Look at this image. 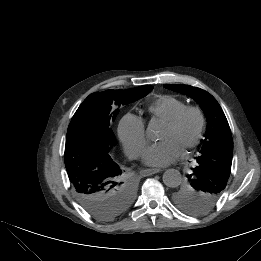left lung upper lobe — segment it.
Here are the masks:
<instances>
[{
	"label": "left lung upper lobe",
	"instance_id": "obj_1",
	"mask_svg": "<svg viewBox=\"0 0 261 261\" xmlns=\"http://www.w3.org/2000/svg\"><path fill=\"white\" fill-rule=\"evenodd\" d=\"M164 87L192 97L207 119L205 139L196 166L188 180L172 195L179 208L201 215L217 203L227 185L233 155L230 127L219 103L205 90L184 84Z\"/></svg>",
	"mask_w": 261,
	"mask_h": 261
}]
</instances>
